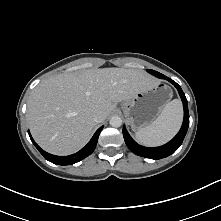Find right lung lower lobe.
<instances>
[{"instance_id":"obj_1","label":"right lung lower lobe","mask_w":221,"mask_h":221,"mask_svg":"<svg viewBox=\"0 0 221 221\" xmlns=\"http://www.w3.org/2000/svg\"><path fill=\"white\" fill-rule=\"evenodd\" d=\"M102 129H103V126H101L95 132V134L93 135V137L91 138V140L89 141V143L85 147H83L77 153L69 155V156H56V155H52V154L45 152L35 143V141L33 140L29 131H28V133H29L31 141L33 142L35 147L39 150V152L43 155V157L46 160H48L54 164H58V165H70V164H74V163H77V162L83 160L84 158L89 156L94 151L97 141H98L99 134Z\"/></svg>"}]
</instances>
